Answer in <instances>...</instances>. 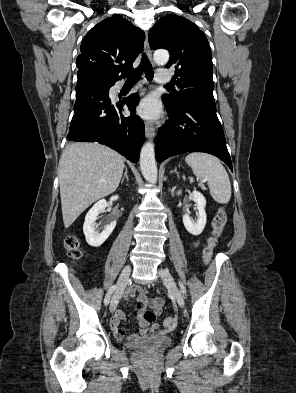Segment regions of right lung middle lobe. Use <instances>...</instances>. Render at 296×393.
<instances>
[{
  "label": "right lung middle lobe",
  "mask_w": 296,
  "mask_h": 393,
  "mask_svg": "<svg viewBox=\"0 0 296 393\" xmlns=\"http://www.w3.org/2000/svg\"><path fill=\"white\" fill-rule=\"evenodd\" d=\"M96 81L107 91L109 90V88L113 85L107 81L101 80V79H96Z\"/></svg>",
  "instance_id": "1"
}]
</instances>
